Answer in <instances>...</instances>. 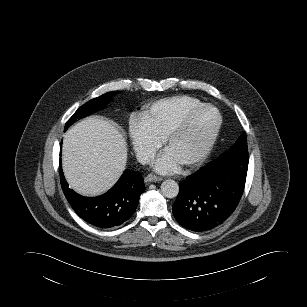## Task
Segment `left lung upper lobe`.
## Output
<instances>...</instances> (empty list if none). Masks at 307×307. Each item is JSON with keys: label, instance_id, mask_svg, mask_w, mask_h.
I'll list each match as a JSON object with an SVG mask.
<instances>
[{"label": "left lung upper lobe", "instance_id": "left-lung-upper-lobe-1", "mask_svg": "<svg viewBox=\"0 0 307 307\" xmlns=\"http://www.w3.org/2000/svg\"><path fill=\"white\" fill-rule=\"evenodd\" d=\"M223 161V162H240L248 163V148H247V138L244 132L236 141V143L221 157L217 160L211 161L210 163Z\"/></svg>", "mask_w": 307, "mask_h": 307}]
</instances>
